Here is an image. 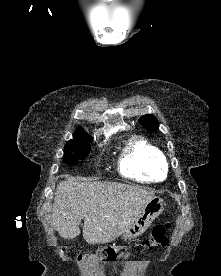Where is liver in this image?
<instances>
[{
    "instance_id": "obj_1",
    "label": "liver",
    "mask_w": 221,
    "mask_h": 276,
    "mask_svg": "<svg viewBox=\"0 0 221 276\" xmlns=\"http://www.w3.org/2000/svg\"><path fill=\"white\" fill-rule=\"evenodd\" d=\"M155 197L145 189L113 182L61 181L56 188L52 223L64 239L80 234L88 244L113 241L121 236Z\"/></svg>"
}]
</instances>
